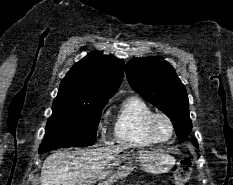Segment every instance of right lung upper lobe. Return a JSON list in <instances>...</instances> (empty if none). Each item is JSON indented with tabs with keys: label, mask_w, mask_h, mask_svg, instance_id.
<instances>
[{
	"label": "right lung upper lobe",
	"mask_w": 233,
	"mask_h": 185,
	"mask_svg": "<svg viewBox=\"0 0 233 185\" xmlns=\"http://www.w3.org/2000/svg\"><path fill=\"white\" fill-rule=\"evenodd\" d=\"M123 75V60L93 51L66 74L56 98L85 103L106 101L119 88Z\"/></svg>",
	"instance_id": "cb5924a9"
}]
</instances>
